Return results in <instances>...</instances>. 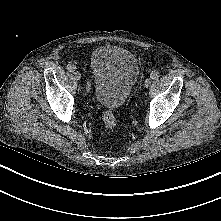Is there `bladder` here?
Here are the masks:
<instances>
[{"instance_id": "obj_1", "label": "bladder", "mask_w": 221, "mask_h": 221, "mask_svg": "<svg viewBox=\"0 0 221 221\" xmlns=\"http://www.w3.org/2000/svg\"><path fill=\"white\" fill-rule=\"evenodd\" d=\"M92 94L107 109L121 107L132 94L139 79L136 57L127 49L104 45L91 56Z\"/></svg>"}]
</instances>
